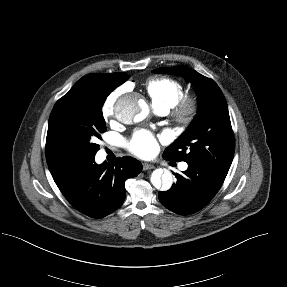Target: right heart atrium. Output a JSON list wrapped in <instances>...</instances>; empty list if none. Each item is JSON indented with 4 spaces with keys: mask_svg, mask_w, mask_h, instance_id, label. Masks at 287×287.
I'll use <instances>...</instances> for the list:
<instances>
[{
    "mask_svg": "<svg viewBox=\"0 0 287 287\" xmlns=\"http://www.w3.org/2000/svg\"><path fill=\"white\" fill-rule=\"evenodd\" d=\"M121 94V90H116L112 92L107 98L104 100L102 104L101 113L105 121H109L113 118L115 113V107L117 100Z\"/></svg>",
    "mask_w": 287,
    "mask_h": 287,
    "instance_id": "1",
    "label": "right heart atrium"
}]
</instances>
